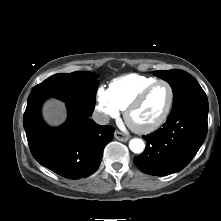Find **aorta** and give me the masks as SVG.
I'll return each mask as SVG.
<instances>
[{"label":"aorta","instance_id":"762f6f07","mask_svg":"<svg viewBox=\"0 0 221 221\" xmlns=\"http://www.w3.org/2000/svg\"><path fill=\"white\" fill-rule=\"evenodd\" d=\"M129 148L134 153H142L145 148V144L143 140L139 138H134L130 140Z\"/></svg>","mask_w":221,"mask_h":221}]
</instances>
